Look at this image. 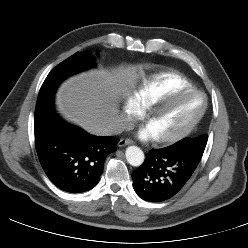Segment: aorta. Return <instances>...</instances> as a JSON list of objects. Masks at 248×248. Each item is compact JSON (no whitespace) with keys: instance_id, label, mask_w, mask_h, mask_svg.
I'll list each match as a JSON object with an SVG mask.
<instances>
[{"instance_id":"aorta-1","label":"aorta","mask_w":248,"mask_h":248,"mask_svg":"<svg viewBox=\"0 0 248 248\" xmlns=\"http://www.w3.org/2000/svg\"><path fill=\"white\" fill-rule=\"evenodd\" d=\"M128 163L132 166H140L144 162V153L137 146H129L125 152Z\"/></svg>"}]
</instances>
